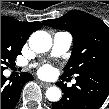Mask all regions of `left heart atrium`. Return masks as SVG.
<instances>
[{
	"label": "left heart atrium",
	"instance_id": "obj_1",
	"mask_svg": "<svg viewBox=\"0 0 109 109\" xmlns=\"http://www.w3.org/2000/svg\"><path fill=\"white\" fill-rule=\"evenodd\" d=\"M40 74L43 77H50L54 74V69L51 66L46 65L40 69Z\"/></svg>",
	"mask_w": 109,
	"mask_h": 109
}]
</instances>
